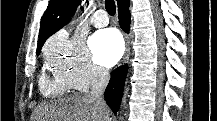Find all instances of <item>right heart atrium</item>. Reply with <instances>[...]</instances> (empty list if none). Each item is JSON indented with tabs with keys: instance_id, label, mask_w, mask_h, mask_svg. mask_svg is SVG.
Returning <instances> with one entry per match:
<instances>
[{
	"instance_id": "d8ad5b80",
	"label": "right heart atrium",
	"mask_w": 217,
	"mask_h": 121,
	"mask_svg": "<svg viewBox=\"0 0 217 121\" xmlns=\"http://www.w3.org/2000/svg\"><path fill=\"white\" fill-rule=\"evenodd\" d=\"M46 63L53 75L78 91L101 85L108 73L91 58L84 40L67 32L52 36L45 45Z\"/></svg>"
}]
</instances>
